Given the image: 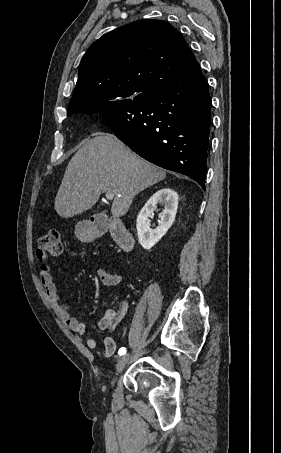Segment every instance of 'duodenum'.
<instances>
[{"label": "duodenum", "instance_id": "410a0bca", "mask_svg": "<svg viewBox=\"0 0 281 453\" xmlns=\"http://www.w3.org/2000/svg\"><path fill=\"white\" fill-rule=\"evenodd\" d=\"M106 232L111 234L114 241L123 250L129 251L133 247V238L121 221L96 218L90 227L91 236L99 237Z\"/></svg>", "mask_w": 281, "mask_h": 453}]
</instances>
